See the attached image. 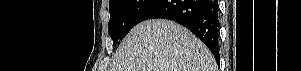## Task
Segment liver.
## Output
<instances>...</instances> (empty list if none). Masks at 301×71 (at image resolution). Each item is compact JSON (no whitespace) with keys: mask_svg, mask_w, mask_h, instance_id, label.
<instances>
[{"mask_svg":"<svg viewBox=\"0 0 301 71\" xmlns=\"http://www.w3.org/2000/svg\"><path fill=\"white\" fill-rule=\"evenodd\" d=\"M108 71H216L211 51L183 26L147 20L123 39Z\"/></svg>","mask_w":301,"mask_h":71,"instance_id":"1","label":"liver"}]
</instances>
